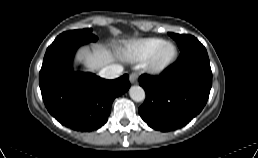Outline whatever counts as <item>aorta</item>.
Segmentation results:
<instances>
[{
	"label": "aorta",
	"instance_id": "762f6f07",
	"mask_svg": "<svg viewBox=\"0 0 258 158\" xmlns=\"http://www.w3.org/2000/svg\"><path fill=\"white\" fill-rule=\"evenodd\" d=\"M129 95L135 102H141L145 99V91L140 86H132L129 90Z\"/></svg>",
	"mask_w": 258,
	"mask_h": 158
}]
</instances>
